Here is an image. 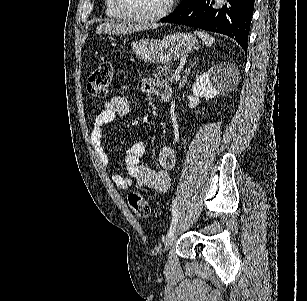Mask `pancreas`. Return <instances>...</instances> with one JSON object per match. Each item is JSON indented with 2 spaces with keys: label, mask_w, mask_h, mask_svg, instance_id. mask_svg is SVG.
I'll return each instance as SVG.
<instances>
[{
  "label": "pancreas",
  "mask_w": 307,
  "mask_h": 301,
  "mask_svg": "<svg viewBox=\"0 0 307 301\" xmlns=\"http://www.w3.org/2000/svg\"><path fill=\"white\" fill-rule=\"evenodd\" d=\"M163 72V74H162ZM175 72L174 68H171V66H159L157 70H153L154 76H157V78H168V80H175Z\"/></svg>",
  "instance_id": "pancreas-1"
}]
</instances>
